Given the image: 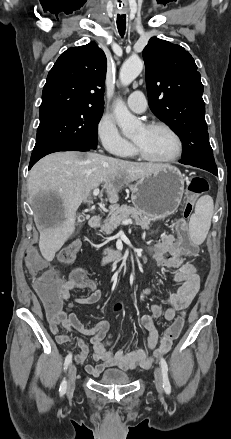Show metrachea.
<instances>
[{
    "instance_id": "obj_1",
    "label": "trachea",
    "mask_w": 231,
    "mask_h": 439,
    "mask_svg": "<svg viewBox=\"0 0 231 439\" xmlns=\"http://www.w3.org/2000/svg\"><path fill=\"white\" fill-rule=\"evenodd\" d=\"M117 28H118L119 34L121 36H124L125 30H126V15L117 19Z\"/></svg>"
}]
</instances>
